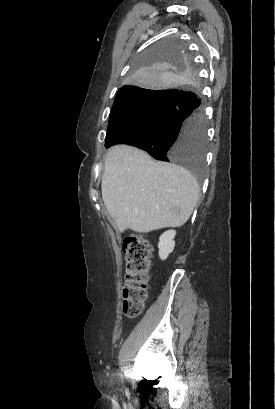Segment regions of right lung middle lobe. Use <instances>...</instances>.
I'll use <instances>...</instances> for the list:
<instances>
[{"instance_id": "right-lung-middle-lobe-1", "label": "right lung middle lobe", "mask_w": 275, "mask_h": 409, "mask_svg": "<svg viewBox=\"0 0 275 409\" xmlns=\"http://www.w3.org/2000/svg\"><path fill=\"white\" fill-rule=\"evenodd\" d=\"M134 60L125 85L135 90L112 107L105 147L127 144L153 158L194 172L204 182L207 162L203 104L199 80L176 41L156 42Z\"/></svg>"}]
</instances>
